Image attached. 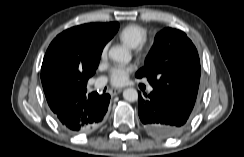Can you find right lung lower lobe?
I'll return each instance as SVG.
<instances>
[{"label": "right lung lower lobe", "instance_id": "1", "mask_svg": "<svg viewBox=\"0 0 244 157\" xmlns=\"http://www.w3.org/2000/svg\"><path fill=\"white\" fill-rule=\"evenodd\" d=\"M86 92L87 89L46 97L57 121L69 131L90 132L105 119L110 95L93 92L87 96Z\"/></svg>", "mask_w": 244, "mask_h": 157}]
</instances>
